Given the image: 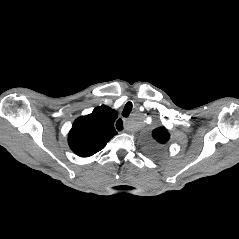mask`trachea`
I'll use <instances>...</instances> for the list:
<instances>
[{
  "instance_id": "obj_1",
  "label": "trachea",
  "mask_w": 239,
  "mask_h": 239,
  "mask_svg": "<svg viewBox=\"0 0 239 239\" xmlns=\"http://www.w3.org/2000/svg\"><path fill=\"white\" fill-rule=\"evenodd\" d=\"M131 110H132V103L131 102L126 103V105L124 107V110L122 112V115L124 117H128L130 112H131Z\"/></svg>"
}]
</instances>
